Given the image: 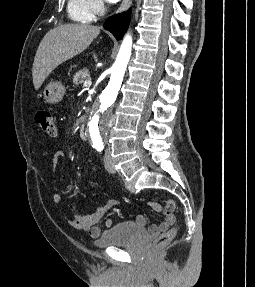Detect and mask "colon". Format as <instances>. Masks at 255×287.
Returning <instances> with one entry per match:
<instances>
[{
    "instance_id": "colon-1",
    "label": "colon",
    "mask_w": 255,
    "mask_h": 287,
    "mask_svg": "<svg viewBox=\"0 0 255 287\" xmlns=\"http://www.w3.org/2000/svg\"><path fill=\"white\" fill-rule=\"evenodd\" d=\"M35 120L40 128L50 136L57 135V126L54 122L53 116L48 110H40L36 113ZM177 233V225L171 229L163 232L155 241L156 248H162L168 244Z\"/></svg>"
}]
</instances>
